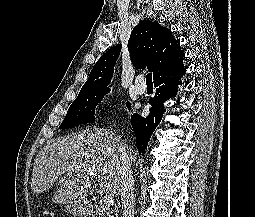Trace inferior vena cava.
<instances>
[{
	"instance_id": "obj_1",
	"label": "inferior vena cava",
	"mask_w": 255,
	"mask_h": 217,
	"mask_svg": "<svg viewBox=\"0 0 255 217\" xmlns=\"http://www.w3.org/2000/svg\"><path fill=\"white\" fill-rule=\"evenodd\" d=\"M131 148L119 145V172L123 217H134V180L131 170Z\"/></svg>"
}]
</instances>
